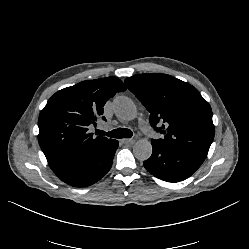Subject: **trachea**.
<instances>
[{"label":"trachea","mask_w":249,"mask_h":249,"mask_svg":"<svg viewBox=\"0 0 249 249\" xmlns=\"http://www.w3.org/2000/svg\"><path fill=\"white\" fill-rule=\"evenodd\" d=\"M98 135H106L112 138H130L133 136V132L127 128H117L112 131L105 132L103 130H97Z\"/></svg>","instance_id":"trachea-1"}]
</instances>
